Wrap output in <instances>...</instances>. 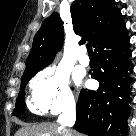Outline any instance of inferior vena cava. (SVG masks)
Instances as JSON below:
<instances>
[{"label": "inferior vena cava", "mask_w": 136, "mask_h": 136, "mask_svg": "<svg viewBox=\"0 0 136 136\" xmlns=\"http://www.w3.org/2000/svg\"><path fill=\"white\" fill-rule=\"evenodd\" d=\"M76 120V107L74 104L68 105L63 113L58 118V123L60 124L59 129L62 131H66V127H72ZM70 136V134H66Z\"/></svg>", "instance_id": "602c4592"}]
</instances>
